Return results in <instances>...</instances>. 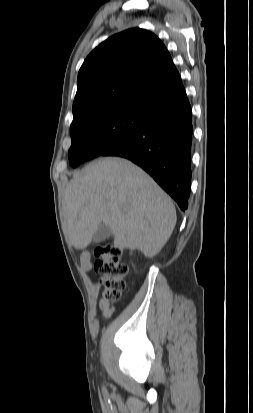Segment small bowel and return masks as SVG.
<instances>
[{
    "label": "small bowel",
    "instance_id": "1",
    "mask_svg": "<svg viewBox=\"0 0 253 413\" xmlns=\"http://www.w3.org/2000/svg\"><path fill=\"white\" fill-rule=\"evenodd\" d=\"M80 267L82 268V270L88 272L91 270L92 268V263H91V257H90V253L89 252H83L80 256ZM112 313V310H109L105 313V316L108 317L110 316Z\"/></svg>",
    "mask_w": 253,
    "mask_h": 413
}]
</instances>
